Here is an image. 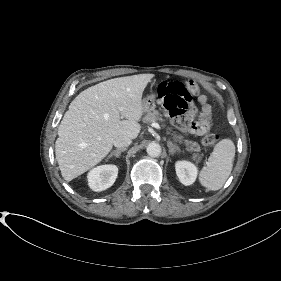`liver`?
<instances>
[{"instance_id":"liver-1","label":"liver","mask_w":281,"mask_h":281,"mask_svg":"<svg viewBox=\"0 0 281 281\" xmlns=\"http://www.w3.org/2000/svg\"><path fill=\"white\" fill-rule=\"evenodd\" d=\"M150 79L149 74L110 79L85 89L70 103L55 143L67 182L101 162L117 137L137 138L142 94Z\"/></svg>"}]
</instances>
